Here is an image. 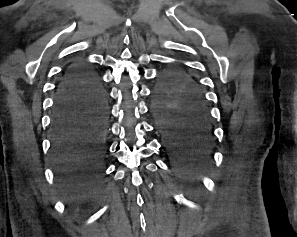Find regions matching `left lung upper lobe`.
Segmentation results:
<instances>
[{
	"instance_id": "left-lung-upper-lobe-1",
	"label": "left lung upper lobe",
	"mask_w": 297,
	"mask_h": 237,
	"mask_svg": "<svg viewBox=\"0 0 297 237\" xmlns=\"http://www.w3.org/2000/svg\"><path fill=\"white\" fill-rule=\"evenodd\" d=\"M180 67L167 71L156 85L154 105L175 106L187 101H198L207 106L197 82Z\"/></svg>"
}]
</instances>
